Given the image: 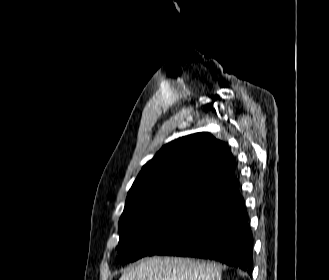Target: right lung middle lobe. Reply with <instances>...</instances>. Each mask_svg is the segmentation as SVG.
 Returning <instances> with one entry per match:
<instances>
[{
	"instance_id": "right-lung-middle-lobe-1",
	"label": "right lung middle lobe",
	"mask_w": 329,
	"mask_h": 280,
	"mask_svg": "<svg viewBox=\"0 0 329 280\" xmlns=\"http://www.w3.org/2000/svg\"><path fill=\"white\" fill-rule=\"evenodd\" d=\"M203 201L199 197L177 195L155 199L135 208L126 205L119 220L117 260L124 264L150 255Z\"/></svg>"
}]
</instances>
